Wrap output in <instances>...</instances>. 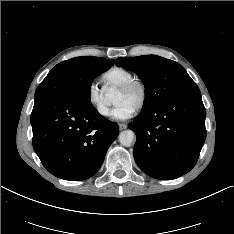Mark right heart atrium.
<instances>
[{
  "label": "right heart atrium",
  "mask_w": 234,
  "mask_h": 234,
  "mask_svg": "<svg viewBox=\"0 0 234 234\" xmlns=\"http://www.w3.org/2000/svg\"><path fill=\"white\" fill-rule=\"evenodd\" d=\"M87 98L90 105L100 116L106 117L109 115V108L105 104L102 92L96 83L92 82L88 85Z\"/></svg>",
  "instance_id": "1"
}]
</instances>
